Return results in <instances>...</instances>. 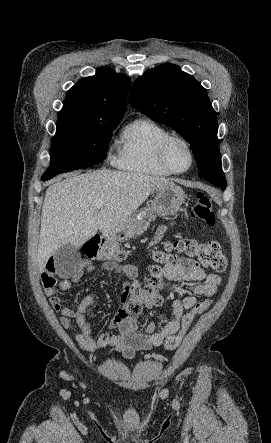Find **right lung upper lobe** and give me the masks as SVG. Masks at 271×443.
<instances>
[{"label": "right lung upper lobe", "instance_id": "cb5924a9", "mask_svg": "<svg viewBox=\"0 0 271 443\" xmlns=\"http://www.w3.org/2000/svg\"><path fill=\"white\" fill-rule=\"evenodd\" d=\"M130 79L108 67L79 80L68 92L63 110L88 118L117 117L126 110Z\"/></svg>", "mask_w": 271, "mask_h": 443}]
</instances>
